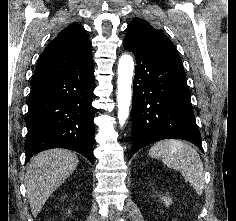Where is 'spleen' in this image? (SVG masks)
Returning <instances> with one entry per match:
<instances>
[{"label":"spleen","mask_w":236,"mask_h":221,"mask_svg":"<svg viewBox=\"0 0 236 221\" xmlns=\"http://www.w3.org/2000/svg\"><path fill=\"white\" fill-rule=\"evenodd\" d=\"M149 155L161 158L169 168L178 170L198 193L203 191V162L189 144L177 139L161 140L151 147Z\"/></svg>","instance_id":"spleen-1"}]
</instances>
